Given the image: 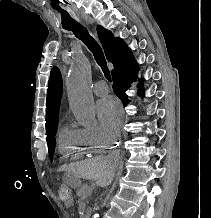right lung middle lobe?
<instances>
[{
  "label": "right lung middle lobe",
  "mask_w": 211,
  "mask_h": 218,
  "mask_svg": "<svg viewBox=\"0 0 211 218\" xmlns=\"http://www.w3.org/2000/svg\"><path fill=\"white\" fill-rule=\"evenodd\" d=\"M121 101H122L124 106H126L130 102V100L128 98H122ZM57 123H56L53 131L47 135V144H48V150H49V155H50L51 159L53 158V152H54L55 145H56V140H55L54 136H55L56 130H57Z\"/></svg>",
  "instance_id": "dd1d6c3e"
}]
</instances>
